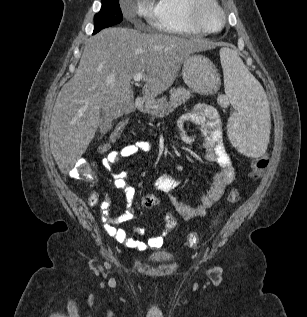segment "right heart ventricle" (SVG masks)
I'll list each match as a JSON object with an SVG mask.
<instances>
[{"instance_id": "obj_1", "label": "right heart ventricle", "mask_w": 307, "mask_h": 317, "mask_svg": "<svg viewBox=\"0 0 307 317\" xmlns=\"http://www.w3.org/2000/svg\"><path fill=\"white\" fill-rule=\"evenodd\" d=\"M193 0H155L152 23L156 30L182 35H202L191 22L189 7Z\"/></svg>"}]
</instances>
